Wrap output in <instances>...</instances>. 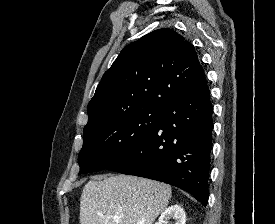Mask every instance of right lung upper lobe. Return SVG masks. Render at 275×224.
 Returning a JSON list of instances; mask_svg holds the SVG:
<instances>
[{
	"mask_svg": "<svg viewBox=\"0 0 275 224\" xmlns=\"http://www.w3.org/2000/svg\"><path fill=\"white\" fill-rule=\"evenodd\" d=\"M203 75L194 46L172 29L127 45L103 75L88 104V128L144 108L164 109Z\"/></svg>",
	"mask_w": 275,
	"mask_h": 224,
	"instance_id": "cb5924a9",
	"label": "right lung upper lobe"
}]
</instances>
